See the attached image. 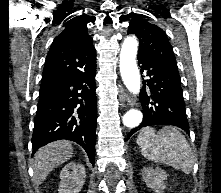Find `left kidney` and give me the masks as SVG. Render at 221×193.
<instances>
[{"label": "left kidney", "mask_w": 221, "mask_h": 193, "mask_svg": "<svg viewBox=\"0 0 221 193\" xmlns=\"http://www.w3.org/2000/svg\"><path fill=\"white\" fill-rule=\"evenodd\" d=\"M142 177L146 185L157 193H161V190L166 187L164 180L167 179V175L161 168H143Z\"/></svg>", "instance_id": "5707ae66"}]
</instances>
